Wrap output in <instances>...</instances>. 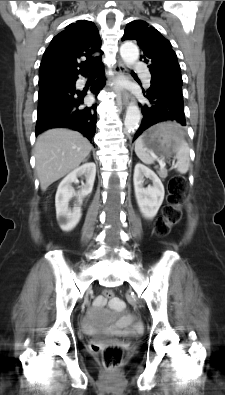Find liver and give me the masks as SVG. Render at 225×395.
Wrapping results in <instances>:
<instances>
[{
	"label": "liver",
	"mask_w": 225,
	"mask_h": 395,
	"mask_svg": "<svg viewBox=\"0 0 225 395\" xmlns=\"http://www.w3.org/2000/svg\"><path fill=\"white\" fill-rule=\"evenodd\" d=\"M92 145L81 133L55 128L39 135L35 144L36 172L42 191L79 167Z\"/></svg>",
	"instance_id": "obj_1"
}]
</instances>
